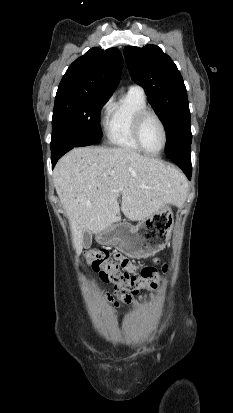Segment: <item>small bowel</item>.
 <instances>
[{
    "instance_id": "1",
    "label": "small bowel",
    "mask_w": 233,
    "mask_h": 413,
    "mask_svg": "<svg viewBox=\"0 0 233 413\" xmlns=\"http://www.w3.org/2000/svg\"><path fill=\"white\" fill-rule=\"evenodd\" d=\"M115 260L118 261V265L121 266L125 273H129L131 276H136L138 274V269L130 263L133 261L132 257H129L124 253H118L115 255ZM137 267L141 268L142 264L138 263ZM135 295L136 294H122L115 290L113 293L106 294L105 298L114 304L115 309H113V312H116V309L122 303H137ZM143 298H147V296H140L138 300H141Z\"/></svg>"
}]
</instances>
